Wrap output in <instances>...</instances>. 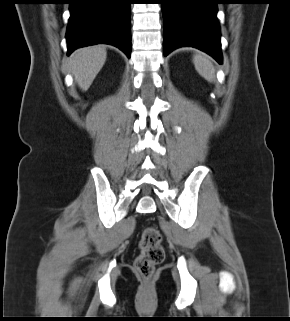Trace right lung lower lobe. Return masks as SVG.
<instances>
[{
	"mask_svg": "<svg viewBox=\"0 0 290 321\" xmlns=\"http://www.w3.org/2000/svg\"><path fill=\"white\" fill-rule=\"evenodd\" d=\"M66 40L68 55L75 49L100 43L131 54L129 0H71Z\"/></svg>",
	"mask_w": 290,
	"mask_h": 321,
	"instance_id": "98d812e1",
	"label": "right lung lower lobe"
}]
</instances>
